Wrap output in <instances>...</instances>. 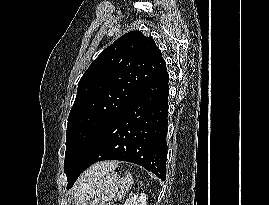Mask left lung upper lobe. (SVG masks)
<instances>
[{
  "label": "left lung upper lobe",
  "mask_w": 269,
  "mask_h": 205,
  "mask_svg": "<svg viewBox=\"0 0 269 205\" xmlns=\"http://www.w3.org/2000/svg\"><path fill=\"white\" fill-rule=\"evenodd\" d=\"M166 67L153 38L131 31L104 49L78 84L66 133L64 172L76 167L104 128ZM67 185V186H68Z\"/></svg>",
  "instance_id": "obj_1"
}]
</instances>
